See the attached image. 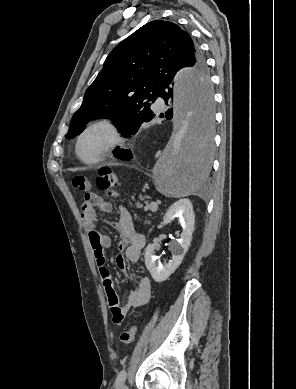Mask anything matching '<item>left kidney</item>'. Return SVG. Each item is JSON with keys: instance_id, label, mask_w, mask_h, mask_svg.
Returning a JSON list of instances; mask_svg holds the SVG:
<instances>
[{"instance_id": "1", "label": "left kidney", "mask_w": 296, "mask_h": 389, "mask_svg": "<svg viewBox=\"0 0 296 389\" xmlns=\"http://www.w3.org/2000/svg\"><path fill=\"white\" fill-rule=\"evenodd\" d=\"M176 217L183 221V231L178 242L171 246L172 257L168 263L158 264L155 251L157 246L149 244L145 249V265L154 281L161 283L175 272L180 266L189 249L194 231L195 216L189 199H180L167 210L164 215V224L171 223Z\"/></svg>"}]
</instances>
